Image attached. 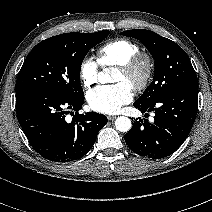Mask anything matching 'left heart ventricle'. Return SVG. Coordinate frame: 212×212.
Instances as JSON below:
<instances>
[{
    "label": "left heart ventricle",
    "mask_w": 212,
    "mask_h": 212,
    "mask_svg": "<svg viewBox=\"0 0 212 212\" xmlns=\"http://www.w3.org/2000/svg\"><path fill=\"white\" fill-rule=\"evenodd\" d=\"M114 82H127L128 84L131 85V79L129 77H127L122 71H120L119 69L116 71L115 76L113 78Z\"/></svg>",
    "instance_id": "1"
}]
</instances>
